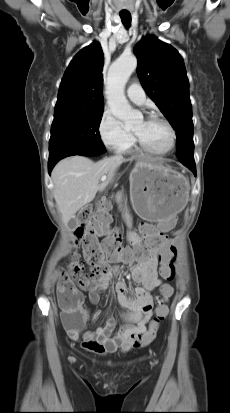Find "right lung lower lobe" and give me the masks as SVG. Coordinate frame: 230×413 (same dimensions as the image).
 <instances>
[{
  "instance_id": "obj_1",
  "label": "right lung lower lobe",
  "mask_w": 230,
  "mask_h": 413,
  "mask_svg": "<svg viewBox=\"0 0 230 413\" xmlns=\"http://www.w3.org/2000/svg\"><path fill=\"white\" fill-rule=\"evenodd\" d=\"M106 151V150H105ZM105 151H89V150H84V151H76V152H68L66 154H63L57 158L51 159L48 162V170L49 174L51 173L52 168L55 166V164L61 160L62 158L72 156V155H82V156H97L103 154Z\"/></svg>"
}]
</instances>
